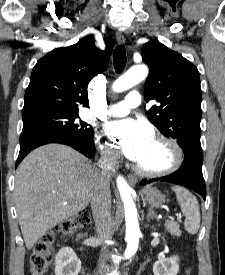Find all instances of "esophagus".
<instances>
[{
  "instance_id": "34e87169",
  "label": "esophagus",
  "mask_w": 225,
  "mask_h": 275,
  "mask_svg": "<svg viewBox=\"0 0 225 275\" xmlns=\"http://www.w3.org/2000/svg\"><path fill=\"white\" fill-rule=\"evenodd\" d=\"M116 39H117L118 44H124V42H125V37H124V35L121 32H117ZM137 180L138 179H137V177L135 175L130 174L128 176V182L131 185H135L137 183Z\"/></svg>"
}]
</instances>
